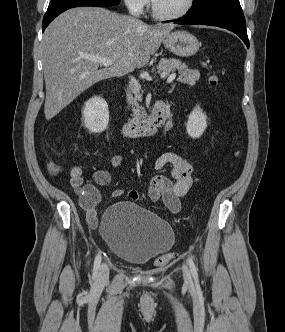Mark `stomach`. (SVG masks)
I'll list each match as a JSON object with an SVG mask.
<instances>
[{
    "label": "stomach",
    "mask_w": 285,
    "mask_h": 332,
    "mask_svg": "<svg viewBox=\"0 0 285 332\" xmlns=\"http://www.w3.org/2000/svg\"><path fill=\"white\" fill-rule=\"evenodd\" d=\"M164 46L180 57L193 56L200 47L197 38L186 31H175L164 39Z\"/></svg>",
    "instance_id": "stomach-1"
}]
</instances>
